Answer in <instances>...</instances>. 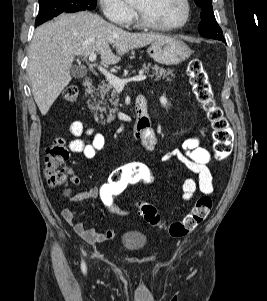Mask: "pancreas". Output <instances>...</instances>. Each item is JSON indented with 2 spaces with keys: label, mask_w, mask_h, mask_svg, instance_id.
<instances>
[{
  "label": "pancreas",
  "mask_w": 267,
  "mask_h": 301,
  "mask_svg": "<svg viewBox=\"0 0 267 301\" xmlns=\"http://www.w3.org/2000/svg\"><path fill=\"white\" fill-rule=\"evenodd\" d=\"M152 69L156 75V80L161 78H167V81H170L168 76L174 77L173 71L171 69H165L158 65H151L150 63L144 64L141 71L148 72ZM98 97V99H97ZM94 103L91 106V110L94 112V118L96 121L100 120L102 124L111 123L115 118V113L118 106V99H116V91L110 83L101 82L98 86V91L93 96ZM107 101L110 102L114 108H111ZM98 111L101 113L98 116ZM108 111V112H107ZM104 114L107 116V119L104 118Z\"/></svg>",
  "instance_id": "obj_1"
}]
</instances>
